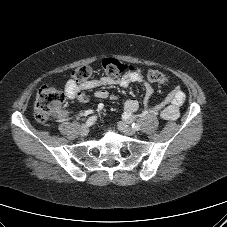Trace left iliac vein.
Listing matches in <instances>:
<instances>
[{"instance_id": "obj_1", "label": "left iliac vein", "mask_w": 227, "mask_h": 227, "mask_svg": "<svg viewBox=\"0 0 227 227\" xmlns=\"http://www.w3.org/2000/svg\"><path fill=\"white\" fill-rule=\"evenodd\" d=\"M118 128L126 135H135L136 131L130 127L129 125H127L125 122L119 121L118 122Z\"/></svg>"}]
</instances>
